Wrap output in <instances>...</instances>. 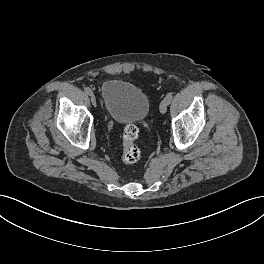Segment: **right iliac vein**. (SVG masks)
<instances>
[{"label":"right iliac vein","instance_id":"63e3f726","mask_svg":"<svg viewBox=\"0 0 264 264\" xmlns=\"http://www.w3.org/2000/svg\"><path fill=\"white\" fill-rule=\"evenodd\" d=\"M91 102L94 106H96V97L93 93L90 94Z\"/></svg>","mask_w":264,"mask_h":264}]
</instances>
